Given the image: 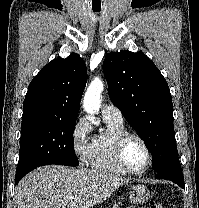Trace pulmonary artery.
<instances>
[{
	"instance_id": "1",
	"label": "pulmonary artery",
	"mask_w": 199,
	"mask_h": 208,
	"mask_svg": "<svg viewBox=\"0 0 199 208\" xmlns=\"http://www.w3.org/2000/svg\"><path fill=\"white\" fill-rule=\"evenodd\" d=\"M102 117L114 120L116 122H123V114L111 103H105L102 107Z\"/></svg>"
}]
</instances>
